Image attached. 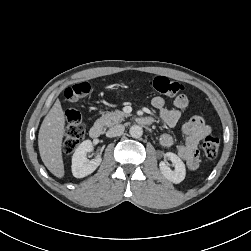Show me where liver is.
I'll return each mask as SVG.
<instances>
[{
    "mask_svg": "<svg viewBox=\"0 0 251 251\" xmlns=\"http://www.w3.org/2000/svg\"><path fill=\"white\" fill-rule=\"evenodd\" d=\"M65 131V114L57 99L45 116L38 134L40 157L47 169L56 177L64 176L62 140Z\"/></svg>",
    "mask_w": 251,
    "mask_h": 251,
    "instance_id": "liver-1",
    "label": "liver"
}]
</instances>
